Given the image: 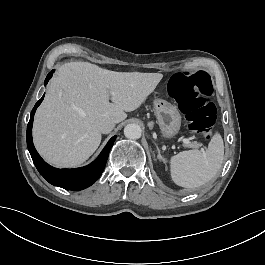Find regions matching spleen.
Returning <instances> with one entry per match:
<instances>
[{
	"label": "spleen",
	"mask_w": 265,
	"mask_h": 265,
	"mask_svg": "<svg viewBox=\"0 0 265 265\" xmlns=\"http://www.w3.org/2000/svg\"><path fill=\"white\" fill-rule=\"evenodd\" d=\"M223 156V138L219 130H215L205 152L190 150L171 156L168 161L170 177L182 187L201 186L216 175Z\"/></svg>",
	"instance_id": "1"
}]
</instances>
